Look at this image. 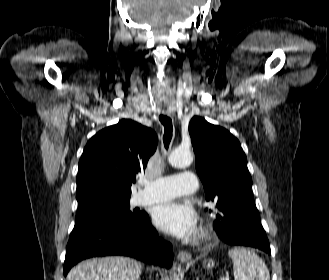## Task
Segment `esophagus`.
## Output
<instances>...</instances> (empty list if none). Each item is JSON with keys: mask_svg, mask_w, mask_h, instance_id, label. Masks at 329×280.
<instances>
[{"mask_svg": "<svg viewBox=\"0 0 329 280\" xmlns=\"http://www.w3.org/2000/svg\"><path fill=\"white\" fill-rule=\"evenodd\" d=\"M181 262H188L191 260V254L185 251H180L177 256Z\"/></svg>", "mask_w": 329, "mask_h": 280, "instance_id": "34e87169", "label": "esophagus"}]
</instances>
